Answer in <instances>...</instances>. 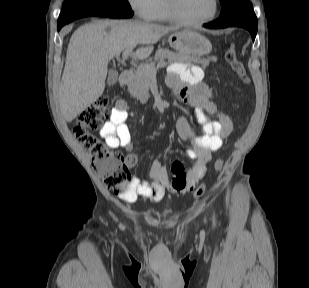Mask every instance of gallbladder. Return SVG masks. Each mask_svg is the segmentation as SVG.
I'll return each instance as SVG.
<instances>
[{"label":"gallbladder","mask_w":309,"mask_h":288,"mask_svg":"<svg viewBox=\"0 0 309 288\" xmlns=\"http://www.w3.org/2000/svg\"><path fill=\"white\" fill-rule=\"evenodd\" d=\"M117 79H118V72L111 70L109 72V77H108V80H107L108 85H110V86L114 85L117 82Z\"/></svg>","instance_id":"1"}]
</instances>
